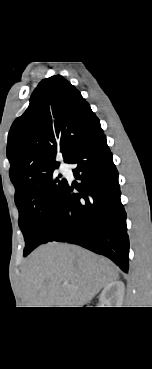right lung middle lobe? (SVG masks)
<instances>
[{"label":"right lung middle lobe","instance_id":"1","mask_svg":"<svg viewBox=\"0 0 152 369\" xmlns=\"http://www.w3.org/2000/svg\"><path fill=\"white\" fill-rule=\"evenodd\" d=\"M58 166L38 176L20 195L15 197L19 210V226L25 239L27 256L50 234L58 204L67 181L53 172Z\"/></svg>","mask_w":152,"mask_h":369}]
</instances>
